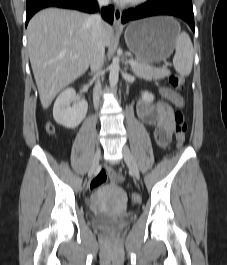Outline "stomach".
<instances>
[{"mask_svg":"<svg viewBox=\"0 0 227 265\" xmlns=\"http://www.w3.org/2000/svg\"><path fill=\"white\" fill-rule=\"evenodd\" d=\"M180 25L169 16L134 21L125 30V41L137 59L145 63L166 60L173 52Z\"/></svg>","mask_w":227,"mask_h":265,"instance_id":"0dacf381","label":"stomach"}]
</instances>
